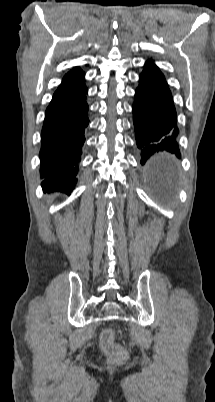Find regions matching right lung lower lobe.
<instances>
[{
  "label": "right lung lower lobe",
  "mask_w": 215,
  "mask_h": 402,
  "mask_svg": "<svg viewBox=\"0 0 215 402\" xmlns=\"http://www.w3.org/2000/svg\"><path fill=\"white\" fill-rule=\"evenodd\" d=\"M84 77L56 91L46 109L41 132L40 174L46 190L70 193L77 182L84 130L89 124Z\"/></svg>",
  "instance_id": "98d812e1"
}]
</instances>
